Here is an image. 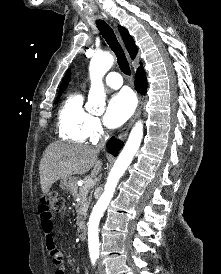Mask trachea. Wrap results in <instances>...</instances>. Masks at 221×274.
<instances>
[{"mask_svg": "<svg viewBox=\"0 0 221 274\" xmlns=\"http://www.w3.org/2000/svg\"><path fill=\"white\" fill-rule=\"evenodd\" d=\"M96 25L111 50L115 53L120 70L125 75H131V70L127 58L112 28L103 20H96Z\"/></svg>", "mask_w": 221, "mask_h": 274, "instance_id": "obj_1", "label": "trachea"}]
</instances>
